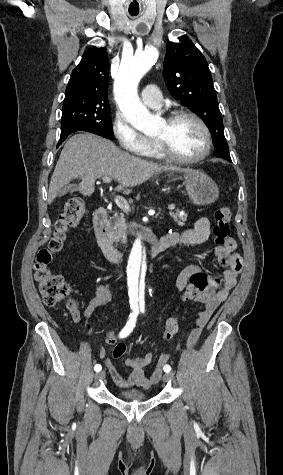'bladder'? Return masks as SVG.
<instances>
[{"instance_id":"1","label":"bladder","mask_w":283,"mask_h":475,"mask_svg":"<svg viewBox=\"0 0 283 475\" xmlns=\"http://www.w3.org/2000/svg\"><path fill=\"white\" fill-rule=\"evenodd\" d=\"M151 395L144 393L137 388L120 390L117 394V398L127 402H143L148 401Z\"/></svg>"}]
</instances>
